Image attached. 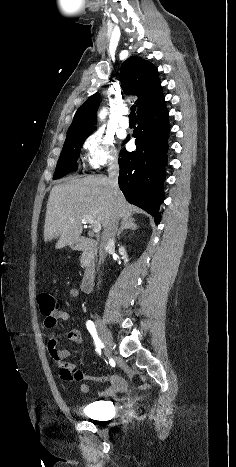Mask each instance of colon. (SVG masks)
<instances>
[{"mask_svg": "<svg viewBox=\"0 0 236 467\" xmlns=\"http://www.w3.org/2000/svg\"><path fill=\"white\" fill-rule=\"evenodd\" d=\"M38 304L41 314L51 316L60 308L58 300L50 293L42 292L38 295Z\"/></svg>", "mask_w": 236, "mask_h": 467, "instance_id": "obj_1", "label": "colon"}]
</instances>
